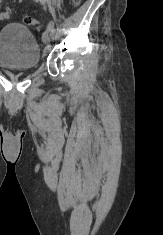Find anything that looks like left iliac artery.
Instances as JSON below:
<instances>
[{"mask_svg":"<svg viewBox=\"0 0 163 235\" xmlns=\"http://www.w3.org/2000/svg\"><path fill=\"white\" fill-rule=\"evenodd\" d=\"M35 1H39V2H41L42 4H44L46 0H35ZM47 28H48V30L51 31V32L55 31L54 24H53L52 22H49Z\"/></svg>","mask_w":163,"mask_h":235,"instance_id":"obj_1","label":"left iliac artery"}]
</instances>
